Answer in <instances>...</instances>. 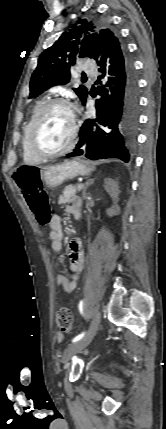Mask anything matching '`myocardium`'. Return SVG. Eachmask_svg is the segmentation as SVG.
<instances>
[{"label":"myocardium","instance_id":"f54148a6","mask_svg":"<svg viewBox=\"0 0 166 429\" xmlns=\"http://www.w3.org/2000/svg\"><path fill=\"white\" fill-rule=\"evenodd\" d=\"M57 105L66 106L71 112L72 126H71L69 141L67 142V144L63 148H61L55 152H44L36 146V143H35L36 133H37L38 127H39L40 122H41L43 116L45 115V113L49 109H51L52 107L57 106ZM77 131H78V123H77L76 110H75L74 105L69 100H67L66 98H62V97L52 98V99L46 101L41 106V108L39 109L37 114L35 115L32 123L30 125V128H29V132H28V136H27V146L33 155H35L36 157H38L42 160L55 158V157H58V156H61L65 153H67L68 151H70L73 148L75 141H76V137H77Z\"/></svg>","mask_w":166,"mask_h":429}]
</instances>
